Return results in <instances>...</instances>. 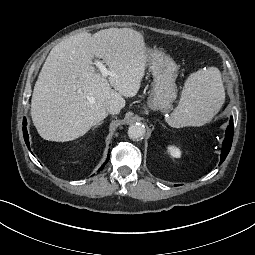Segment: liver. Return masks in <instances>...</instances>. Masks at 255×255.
Segmentation results:
<instances>
[{
  "instance_id": "6515ba94",
  "label": "liver",
  "mask_w": 255,
  "mask_h": 255,
  "mask_svg": "<svg viewBox=\"0 0 255 255\" xmlns=\"http://www.w3.org/2000/svg\"><path fill=\"white\" fill-rule=\"evenodd\" d=\"M146 51L143 34L132 28L83 32L54 46L31 100L39 135L50 141H71L107 117V100H116L123 108V97H134L140 89ZM94 57L102 59L113 75L97 73Z\"/></svg>"
}]
</instances>
